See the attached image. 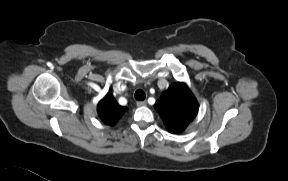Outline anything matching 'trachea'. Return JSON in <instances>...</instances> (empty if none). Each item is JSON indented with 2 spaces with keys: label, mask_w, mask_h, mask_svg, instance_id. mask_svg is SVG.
<instances>
[{
  "label": "trachea",
  "mask_w": 288,
  "mask_h": 181,
  "mask_svg": "<svg viewBox=\"0 0 288 181\" xmlns=\"http://www.w3.org/2000/svg\"><path fill=\"white\" fill-rule=\"evenodd\" d=\"M135 98H136L138 101H143V100L146 98V94L144 93L143 90L138 89V90L135 92Z\"/></svg>",
  "instance_id": "trachea-1"
}]
</instances>
